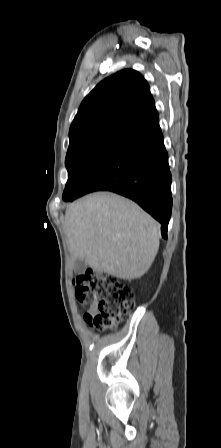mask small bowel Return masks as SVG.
Segmentation results:
<instances>
[{
    "mask_svg": "<svg viewBox=\"0 0 221 448\" xmlns=\"http://www.w3.org/2000/svg\"><path fill=\"white\" fill-rule=\"evenodd\" d=\"M94 310H95L94 307H91V308L88 309L87 312H93Z\"/></svg>",
    "mask_w": 221,
    "mask_h": 448,
    "instance_id": "small-bowel-1",
    "label": "small bowel"
}]
</instances>
